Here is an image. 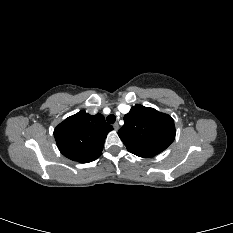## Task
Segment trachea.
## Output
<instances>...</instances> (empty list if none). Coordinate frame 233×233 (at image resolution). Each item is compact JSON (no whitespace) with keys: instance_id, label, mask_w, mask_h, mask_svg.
I'll list each match as a JSON object with an SVG mask.
<instances>
[{"instance_id":"obj_1","label":"trachea","mask_w":233,"mask_h":233,"mask_svg":"<svg viewBox=\"0 0 233 233\" xmlns=\"http://www.w3.org/2000/svg\"><path fill=\"white\" fill-rule=\"evenodd\" d=\"M106 120L109 124H113L116 121V116L113 114H110L107 116Z\"/></svg>"}]
</instances>
